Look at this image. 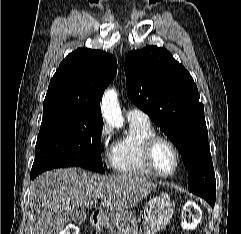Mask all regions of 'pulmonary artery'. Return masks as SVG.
<instances>
[{"instance_id": "pulmonary-artery-1", "label": "pulmonary artery", "mask_w": 241, "mask_h": 234, "mask_svg": "<svg viewBox=\"0 0 241 234\" xmlns=\"http://www.w3.org/2000/svg\"><path fill=\"white\" fill-rule=\"evenodd\" d=\"M126 117H127V120L131 122H143V123L150 122L149 116L144 111L138 108L128 109L126 112Z\"/></svg>"}]
</instances>
